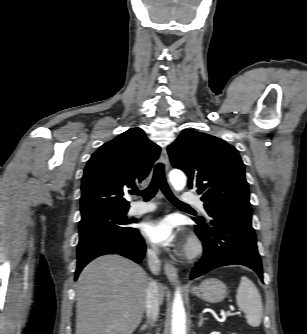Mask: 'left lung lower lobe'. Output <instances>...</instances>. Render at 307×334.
Instances as JSON below:
<instances>
[{
    "label": "left lung lower lobe",
    "mask_w": 307,
    "mask_h": 334,
    "mask_svg": "<svg viewBox=\"0 0 307 334\" xmlns=\"http://www.w3.org/2000/svg\"><path fill=\"white\" fill-rule=\"evenodd\" d=\"M208 223L196 221L195 232L203 242L204 256L192 270L191 279L226 265H244L263 280L261 259L251 218L233 213L210 215Z\"/></svg>",
    "instance_id": "left-lung-lower-lobe-1"
}]
</instances>
